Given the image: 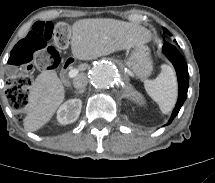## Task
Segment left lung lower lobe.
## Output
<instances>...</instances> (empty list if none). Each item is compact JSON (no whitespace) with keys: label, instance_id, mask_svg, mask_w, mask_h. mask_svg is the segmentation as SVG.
<instances>
[{"label":"left lung lower lobe","instance_id":"obj_1","mask_svg":"<svg viewBox=\"0 0 215 183\" xmlns=\"http://www.w3.org/2000/svg\"><path fill=\"white\" fill-rule=\"evenodd\" d=\"M163 51L176 70L179 87L178 100L172 112V115L167 123L168 125L176 117L180 108L182 107L183 103L186 100L189 86V73L187 64L183 56L178 52L175 46L165 43L163 46Z\"/></svg>","mask_w":215,"mask_h":183}]
</instances>
